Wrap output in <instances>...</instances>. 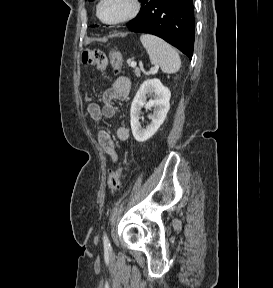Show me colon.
<instances>
[{"mask_svg": "<svg viewBox=\"0 0 273 288\" xmlns=\"http://www.w3.org/2000/svg\"><path fill=\"white\" fill-rule=\"evenodd\" d=\"M82 61L85 64H90L102 71L107 64V58L101 50L88 49L83 52ZM110 63L114 68H120L123 63L122 55L117 50L110 52ZM122 182V168L118 167L111 171L108 175L107 185L110 192L114 193L120 189Z\"/></svg>", "mask_w": 273, "mask_h": 288, "instance_id": "1", "label": "colon"}]
</instances>
